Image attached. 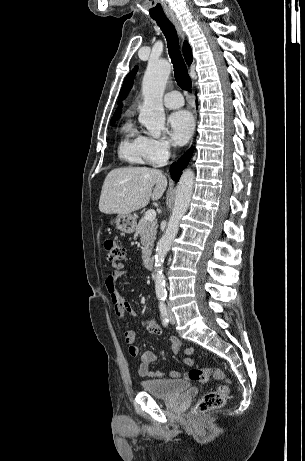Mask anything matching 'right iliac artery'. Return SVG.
Listing matches in <instances>:
<instances>
[{"label": "right iliac artery", "instance_id": "obj_1", "mask_svg": "<svg viewBox=\"0 0 305 461\" xmlns=\"http://www.w3.org/2000/svg\"><path fill=\"white\" fill-rule=\"evenodd\" d=\"M160 305H159V308H160V313H161V319H162V323L164 326H167L168 325V312H167V308H166V305L164 304V298H160Z\"/></svg>", "mask_w": 305, "mask_h": 461}]
</instances>
